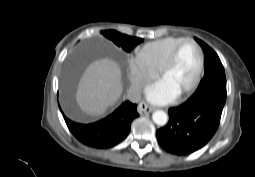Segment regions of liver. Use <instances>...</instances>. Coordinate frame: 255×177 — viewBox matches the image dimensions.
<instances>
[{"label":"liver","mask_w":255,"mask_h":177,"mask_svg":"<svg viewBox=\"0 0 255 177\" xmlns=\"http://www.w3.org/2000/svg\"><path fill=\"white\" fill-rule=\"evenodd\" d=\"M123 92L121 69L109 58L89 64L80 78L76 102L80 109L91 116H101L114 105Z\"/></svg>","instance_id":"liver-1"}]
</instances>
